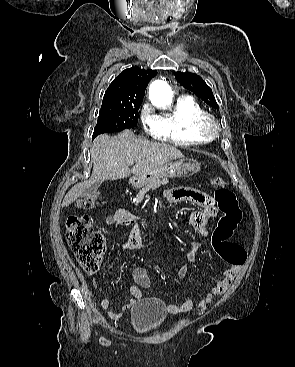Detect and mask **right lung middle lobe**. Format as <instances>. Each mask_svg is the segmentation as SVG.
Segmentation results:
<instances>
[{
    "label": "right lung middle lobe",
    "instance_id": "dd1d6c3e",
    "mask_svg": "<svg viewBox=\"0 0 295 367\" xmlns=\"http://www.w3.org/2000/svg\"><path fill=\"white\" fill-rule=\"evenodd\" d=\"M141 103L142 101L103 100L93 138L102 133L119 132L137 126Z\"/></svg>",
    "mask_w": 295,
    "mask_h": 367
}]
</instances>
